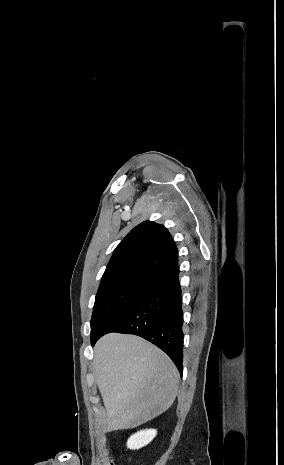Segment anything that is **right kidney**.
<instances>
[{"mask_svg":"<svg viewBox=\"0 0 284 465\" xmlns=\"http://www.w3.org/2000/svg\"><path fill=\"white\" fill-rule=\"evenodd\" d=\"M156 429H146V431H138L135 435H131L130 439L127 441L128 449H141L145 445H149L156 437Z\"/></svg>","mask_w":284,"mask_h":465,"instance_id":"ca27d5eb","label":"right kidney"}]
</instances>
